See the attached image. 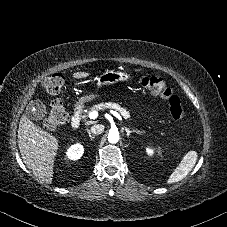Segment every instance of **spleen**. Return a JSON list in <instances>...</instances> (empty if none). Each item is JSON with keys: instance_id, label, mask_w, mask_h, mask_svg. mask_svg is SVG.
Masks as SVG:
<instances>
[{"instance_id": "obj_1", "label": "spleen", "mask_w": 227, "mask_h": 227, "mask_svg": "<svg viewBox=\"0 0 227 227\" xmlns=\"http://www.w3.org/2000/svg\"><path fill=\"white\" fill-rule=\"evenodd\" d=\"M198 154L196 151H189L187 152L184 157L182 158L179 165L170 175L167 184H173L176 182L181 181L185 178L188 173L193 169L196 164Z\"/></svg>"}]
</instances>
